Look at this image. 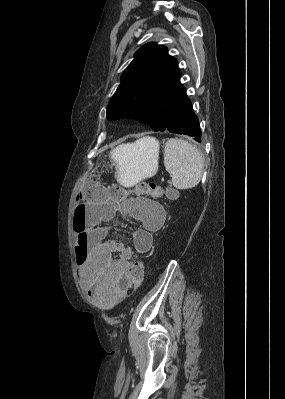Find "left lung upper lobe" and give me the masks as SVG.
<instances>
[{
    "instance_id": "left-lung-upper-lobe-1",
    "label": "left lung upper lobe",
    "mask_w": 285,
    "mask_h": 399,
    "mask_svg": "<svg viewBox=\"0 0 285 399\" xmlns=\"http://www.w3.org/2000/svg\"><path fill=\"white\" fill-rule=\"evenodd\" d=\"M177 60L154 42L143 45L121 76L107 106V119L125 116L164 131L171 112L185 91Z\"/></svg>"
}]
</instances>
